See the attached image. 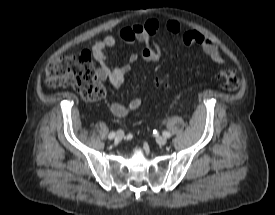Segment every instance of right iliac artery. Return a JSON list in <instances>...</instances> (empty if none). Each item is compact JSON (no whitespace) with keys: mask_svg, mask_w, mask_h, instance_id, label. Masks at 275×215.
<instances>
[{"mask_svg":"<svg viewBox=\"0 0 275 215\" xmlns=\"http://www.w3.org/2000/svg\"><path fill=\"white\" fill-rule=\"evenodd\" d=\"M115 137V132H111L109 135H108V138L109 139H113Z\"/></svg>","mask_w":275,"mask_h":215,"instance_id":"obj_1","label":"right iliac artery"}]
</instances>
